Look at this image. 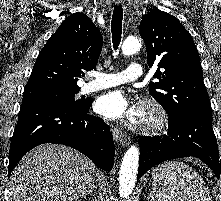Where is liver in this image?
Segmentation results:
<instances>
[{"label":"liver","mask_w":221,"mask_h":201,"mask_svg":"<svg viewBox=\"0 0 221 201\" xmlns=\"http://www.w3.org/2000/svg\"><path fill=\"white\" fill-rule=\"evenodd\" d=\"M95 165L67 146L42 144L12 171L13 201H76L94 183Z\"/></svg>","instance_id":"obj_1"}]
</instances>
